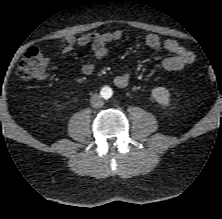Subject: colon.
<instances>
[{
	"instance_id": "obj_1",
	"label": "colon",
	"mask_w": 222,
	"mask_h": 219,
	"mask_svg": "<svg viewBox=\"0 0 222 219\" xmlns=\"http://www.w3.org/2000/svg\"><path fill=\"white\" fill-rule=\"evenodd\" d=\"M50 65L49 58L38 48L28 49L21 58L16 74L19 80H40L47 76ZM208 78L214 80L216 78L215 70L209 64L205 65Z\"/></svg>"
}]
</instances>
